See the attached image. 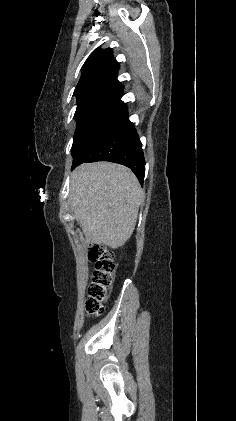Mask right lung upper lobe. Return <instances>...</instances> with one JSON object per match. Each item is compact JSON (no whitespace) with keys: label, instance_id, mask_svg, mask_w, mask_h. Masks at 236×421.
<instances>
[{"label":"right lung upper lobe","instance_id":"1","mask_svg":"<svg viewBox=\"0 0 236 421\" xmlns=\"http://www.w3.org/2000/svg\"><path fill=\"white\" fill-rule=\"evenodd\" d=\"M118 70L119 63L113 58L112 50L96 49L83 65L74 95L108 86H121L117 80Z\"/></svg>","mask_w":236,"mask_h":421}]
</instances>
